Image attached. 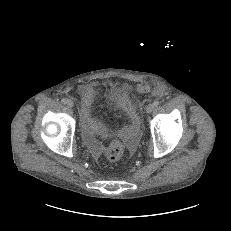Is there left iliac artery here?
I'll return each instance as SVG.
<instances>
[{
    "instance_id": "44dca946",
    "label": "left iliac artery",
    "mask_w": 231,
    "mask_h": 231,
    "mask_svg": "<svg viewBox=\"0 0 231 231\" xmlns=\"http://www.w3.org/2000/svg\"><path fill=\"white\" fill-rule=\"evenodd\" d=\"M153 105H154L155 107H157V106L159 105V101H158V100H155V101L153 102Z\"/></svg>"
}]
</instances>
